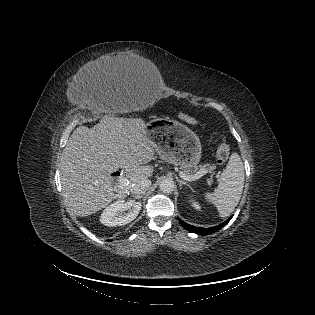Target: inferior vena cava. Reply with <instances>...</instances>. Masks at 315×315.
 Returning <instances> with one entry per match:
<instances>
[{
  "label": "inferior vena cava",
  "mask_w": 315,
  "mask_h": 315,
  "mask_svg": "<svg viewBox=\"0 0 315 315\" xmlns=\"http://www.w3.org/2000/svg\"><path fill=\"white\" fill-rule=\"evenodd\" d=\"M151 185V181L147 178L136 181L130 189V192L135 195H142L148 190Z\"/></svg>",
  "instance_id": "602c4592"
}]
</instances>
